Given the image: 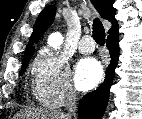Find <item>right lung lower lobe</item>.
I'll return each instance as SVG.
<instances>
[{
	"label": "right lung lower lobe",
	"instance_id": "obj_1",
	"mask_svg": "<svg viewBox=\"0 0 142 119\" xmlns=\"http://www.w3.org/2000/svg\"><path fill=\"white\" fill-rule=\"evenodd\" d=\"M118 32L110 34L106 41L111 61L106 71L104 82L95 91L86 94L81 100L78 109L80 119H101L107 107L109 91L112 85L115 68L119 58Z\"/></svg>",
	"mask_w": 142,
	"mask_h": 119
}]
</instances>
